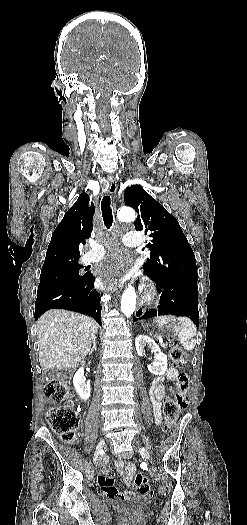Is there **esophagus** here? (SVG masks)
I'll list each match as a JSON object with an SVG mask.
<instances>
[{"mask_svg":"<svg viewBox=\"0 0 247 525\" xmlns=\"http://www.w3.org/2000/svg\"><path fill=\"white\" fill-rule=\"evenodd\" d=\"M109 183L110 185H109L108 193L113 198V200L117 201L118 200L117 183L115 180H109ZM144 313H145L144 308L139 305L136 309L135 315L137 316V318H139V316H142Z\"/></svg>","mask_w":247,"mask_h":525,"instance_id":"34e87169","label":"esophagus"}]
</instances>
